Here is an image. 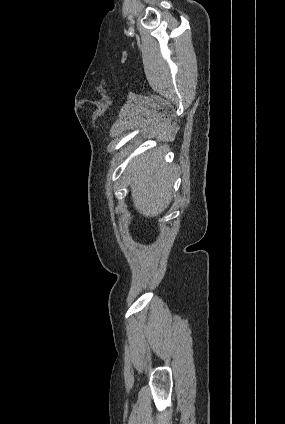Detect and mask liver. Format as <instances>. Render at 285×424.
Listing matches in <instances>:
<instances>
[{
    "label": "liver",
    "instance_id": "1",
    "mask_svg": "<svg viewBox=\"0 0 285 424\" xmlns=\"http://www.w3.org/2000/svg\"><path fill=\"white\" fill-rule=\"evenodd\" d=\"M166 151V147L150 151L127 168L134 207L146 217L160 215L172 199L173 168L163 161Z\"/></svg>",
    "mask_w": 285,
    "mask_h": 424
}]
</instances>
